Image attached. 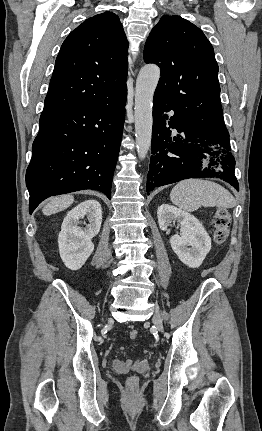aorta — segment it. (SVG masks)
Segmentation results:
<instances>
[{"instance_id": "1", "label": "aorta", "mask_w": 262, "mask_h": 431, "mask_svg": "<svg viewBox=\"0 0 262 431\" xmlns=\"http://www.w3.org/2000/svg\"><path fill=\"white\" fill-rule=\"evenodd\" d=\"M160 79V68L150 64L141 68L135 88V136L137 153L144 159L151 146L153 96Z\"/></svg>"}]
</instances>
